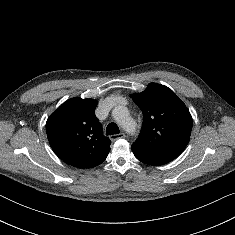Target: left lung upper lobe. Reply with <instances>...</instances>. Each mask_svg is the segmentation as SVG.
Wrapping results in <instances>:
<instances>
[{
	"mask_svg": "<svg viewBox=\"0 0 235 235\" xmlns=\"http://www.w3.org/2000/svg\"><path fill=\"white\" fill-rule=\"evenodd\" d=\"M143 113V125L132 150L176 158L187 146L192 117L185 104L168 87L150 83L131 96Z\"/></svg>",
	"mask_w": 235,
	"mask_h": 235,
	"instance_id": "5c2ea615",
	"label": "left lung upper lobe"
}]
</instances>
